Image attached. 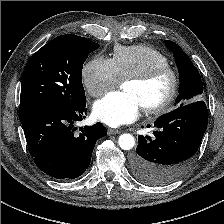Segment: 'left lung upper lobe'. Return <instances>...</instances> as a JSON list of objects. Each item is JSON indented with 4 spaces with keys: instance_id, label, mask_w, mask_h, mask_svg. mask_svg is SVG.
Returning a JSON list of instances; mask_svg holds the SVG:
<instances>
[{
    "instance_id": "1",
    "label": "left lung upper lobe",
    "mask_w": 224,
    "mask_h": 224,
    "mask_svg": "<svg viewBox=\"0 0 224 224\" xmlns=\"http://www.w3.org/2000/svg\"><path fill=\"white\" fill-rule=\"evenodd\" d=\"M166 47L173 52L179 77L180 87L179 96L176 100L178 103L183 100L180 106L202 99L203 84L197 68L193 65L188 55L176 43L166 40Z\"/></svg>"
}]
</instances>
